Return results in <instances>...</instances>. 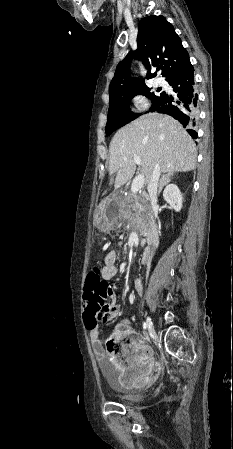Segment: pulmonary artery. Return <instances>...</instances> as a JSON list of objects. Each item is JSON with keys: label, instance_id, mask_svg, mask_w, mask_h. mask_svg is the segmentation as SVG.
Returning a JSON list of instances; mask_svg holds the SVG:
<instances>
[{"label": "pulmonary artery", "instance_id": "e3ab8cb5", "mask_svg": "<svg viewBox=\"0 0 233 449\" xmlns=\"http://www.w3.org/2000/svg\"><path fill=\"white\" fill-rule=\"evenodd\" d=\"M154 82L156 85H164L165 84V81L160 77H156Z\"/></svg>", "mask_w": 233, "mask_h": 449}]
</instances>
